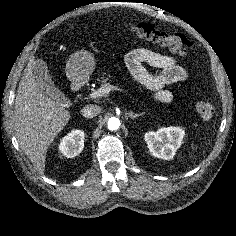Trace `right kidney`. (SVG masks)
Listing matches in <instances>:
<instances>
[{"mask_svg": "<svg viewBox=\"0 0 236 236\" xmlns=\"http://www.w3.org/2000/svg\"><path fill=\"white\" fill-rule=\"evenodd\" d=\"M85 133L82 130H73L68 133L59 144V151L67 158L80 154L84 148Z\"/></svg>", "mask_w": 236, "mask_h": 236, "instance_id": "obj_1", "label": "right kidney"}]
</instances>
